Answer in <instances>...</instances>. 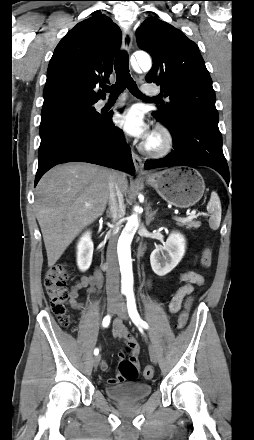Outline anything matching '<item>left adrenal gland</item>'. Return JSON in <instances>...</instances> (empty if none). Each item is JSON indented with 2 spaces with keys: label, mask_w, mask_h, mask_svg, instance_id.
Returning a JSON list of instances; mask_svg holds the SVG:
<instances>
[{
  "label": "left adrenal gland",
  "mask_w": 254,
  "mask_h": 440,
  "mask_svg": "<svg viewBox=\"0 0 254 440\" xmlns=\"http://www.w3.org/2000/svg\"><path fill=\"white\" fill-rule=\"evenodd\" d=\"M156 212H157V210L151 212V211H149V209H148L147 214H146V224H147V225H150L151 221L154 220V216L156 215Z\"/></svg>",
  "instance_id": "obj_1"
}]
</instances>
